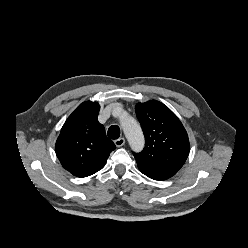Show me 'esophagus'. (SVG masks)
I'll use <instances>...</instances> for the list:
<instances>
[{
	"instance_id": "esophagus-1",
	"label": "esophagus",
	"mask_w": 248,
	"mask_h": 248,
	"mask_svg": "<svg viewBox=\"0 0 248 248\" xmlns=\"http://www.w3.org/2000/svg\"><path fill=\"white\" fill-rule=\"evenodd\" d=\"M114 143H115V145H116L117 147H121V146H123V145L125 144V139H124L123 137H121V138H119V139H116V140L114 141Z\"/></svg>"
}]
</instances>
